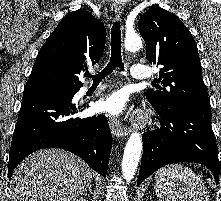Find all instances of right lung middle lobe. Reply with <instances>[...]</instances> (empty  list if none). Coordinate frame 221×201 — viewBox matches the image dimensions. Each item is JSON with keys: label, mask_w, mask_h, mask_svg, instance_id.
<instances>
[{"label": "right lung middle lobe", "mask_w": 221, "mask_h": 201, "mask_svg": "<svg viewBox=\"0 0 221 201\" xmlns=\"http://www.w3.org/2000/svg\"><path fill=\"white\" fill-rule=\"evenodd\" d=\"M76 90L50 89V88H31L24 89L25 94H41L51 96H61L74 93Z\"/></svg>", "instance_id": "right-lung-middle-lobe-1"}]
</instances>
